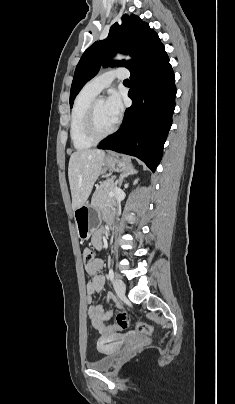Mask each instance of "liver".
I'll return each instance as SVG.
<instances>
[{
	"label": "liver",
	"instance_id": "liver-1",
	"mask_svg": "<svg viewBox=\"0 0 235 404\" xmlns=\"http://www.w3.org/2000/svg\"><path fill=\"white\" fill-rule=\"evenodd\" d=\"M103 150H79L70 156L68 178L73 211L87 201L93 185L102 172Z\"/></svg>",
	"mask_w": 235,
	"mask_h": 404
}]
</instances>
